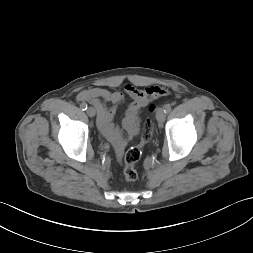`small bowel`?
<instances>
[{"mask_svg":"<svg viewBox=\"0 0 253 253\" xmlns=\"http://www.w3.org/2000/svg\"><path fill=\"white\" fill-rule=\"evenodd\" d=\"M158 90L164 89L159 87L139 89L132 85L126 86L125 92L132 99L122 121L126 136H123L121 130L113 122L117 106L125 99L122 92L94 87L82 90L78 94L77 99L83 103L88 102L94 106L97 112V124L100 131L113 144L116 153L122 155L128 141L135 136L138 131L140 110L151 100L163 95L159 94ZM106 103H111L112 106L107 107Z\"/></svg>","mask_w":253,"mask_h":253,"instance_id":"small-bowel-1","label":"small bowel"}]
</instances>
